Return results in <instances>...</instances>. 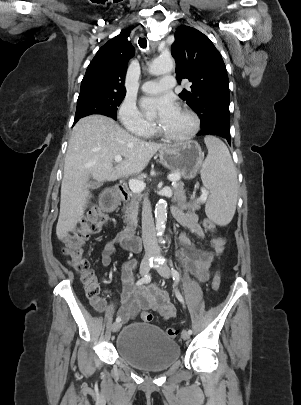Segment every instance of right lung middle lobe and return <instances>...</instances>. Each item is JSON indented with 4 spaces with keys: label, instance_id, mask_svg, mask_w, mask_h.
<instances>
[{
    "label": "right lung middle lobe",
    "instance_id": "1",
    "mask_svg": "<svg viewBox=\"0 0 301 405\" xmlns=\"http://www.w3.org/2000/svg\"><path fill=\"white\" fill-rule=\"evenodd\" d=\"M125 94L86 93L79 95L74 123L90 114H102L117 119L116 111Z\"/></svg>",
    "mask_w": 301,
    "mask_h": 405
}]
</instances>
